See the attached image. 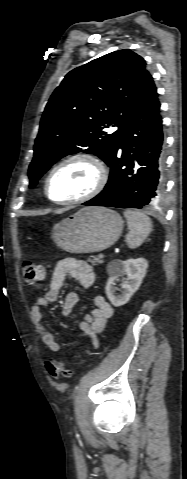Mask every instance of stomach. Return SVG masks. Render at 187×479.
Here are the masks:
<instances>
[{
    "label": "stomach",
    "instance_id": "0dacf381",
    "mask_svg": "<svg viewBox=\"0 0 187 479\" xmlns=\"http://www.w3.org/2000/svg\"><path fill=\"white\" fill-rule=\"evenodd\" d=\"M122 217L104 207H86L56 224L54 242L71 253L99 252L112 246L121 236Z\"/></svg>",
    "mask_w": 187,
    "mask_h": 479
}]
</instances>
